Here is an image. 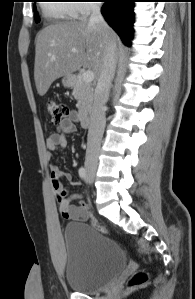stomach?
Listing matches in <instances>:
<instances>
[{"instance_id":"obj_1","label":"stomach","mask_w":195,"mask_h":299,"mask_svg":"<svg viewBox=\"0 0 195 299\" xmlns=\"http://www.w3.org/2000/svg\"><path fill=\"white\" fill-rule=\"evenodd\" d=\"M62 83L65 87H73L74 77L72 75L64 76V78L62 79Z\"/></svg>"}]
</instances>
